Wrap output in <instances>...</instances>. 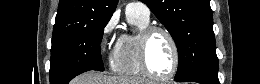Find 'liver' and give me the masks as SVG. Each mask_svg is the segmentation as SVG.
I'll use <instances>...</instances> for the list:
<instances>
[{
  "label": "liver",
  "mask_w": 260,
  "mask_h": 84,
  "mask_svg": "<svg viewBox=\"0 0 260 84\" xmlns=\"http://www.w3.org/2000/svg\"><path fill=\"white\" fill-rule=\"evenodd\" d=\"M74 82L75 84H152L138 77H111L93 71L81 74Z\"/></svg>",
  "instance_id": "obj_1"
}]
</instances>
